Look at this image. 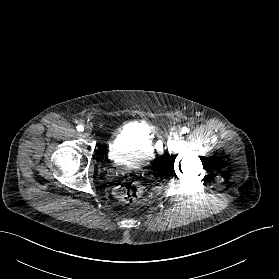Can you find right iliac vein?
<instances>
[{"label":"right iliac vein","mask_w":279,"mask_h":279,"mask_svg":"<svg viewBox=\"0 0 279 279\" xmlns=\"http://www.w3.org/2000/svg\"><path fill=\"white\" fill-rule=\"evenodd\" d=\"M91 132H92L91 127L87 126V127H85L83 134L88 137V136H90Z\"/></svg>","instance_id":"obj_1"}]
</instances>
